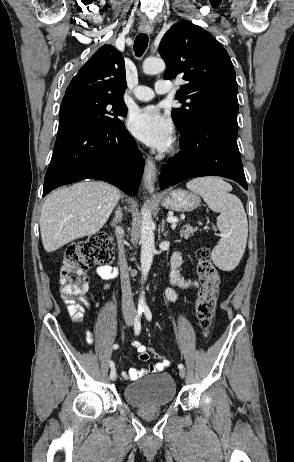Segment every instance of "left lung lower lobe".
Returning a JSON list of instances; mask_svg holds the SVG:
<instances>
[{
	"mask_svg": "<svg viewBox=\"0 0 294 462\" xmlns=\"http://www.w3.org/2000/svg\"><path fill=\"white\" fill-rule=\"evenodd\" d=\"M237 112L238 107L232 105L216 107L181 135V153L162 168L160 188L212 175L232 179L248 189L236 144Z\"/></svg>",
	"mask_w": 294,
	"mask_h": 462,
	"instance_id": "1",
	"label": "left lung lower lobe"
}]
</instances>
